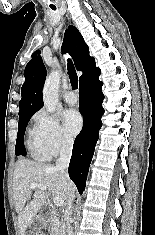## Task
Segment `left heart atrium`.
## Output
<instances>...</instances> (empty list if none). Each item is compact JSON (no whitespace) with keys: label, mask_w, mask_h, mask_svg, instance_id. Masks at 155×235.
Returning <instances> with one entry per match:
<instances>
[{"label":"left heart atrium","mask_w":155,"mask_h":235,"mask_svg":"<svg viewBox=\"0 0 155 235\" xmlns=\"http://www.w3.org/2000/svg\"><path fill=\"white\" fill-rule=\"evenodd\" d=\"M63 119L65 129L70 135H76L82 129L83 121L78 111L74 109L66 110Z\"/></svg>","instance_id":"1"}]
</instances>
